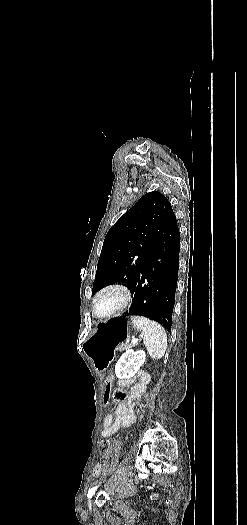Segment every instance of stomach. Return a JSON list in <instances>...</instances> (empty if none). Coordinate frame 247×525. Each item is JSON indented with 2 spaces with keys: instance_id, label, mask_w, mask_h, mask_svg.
Returning <instances> with one entry per match:
<instances>
[{
  "instance_id": "obj_1",
  "label": "stomach",
  "mask_w": 247,
  "mask_h": 525,
  "mask_svg": "<svg viewBox=\"0 0 247 525\" xmlns=\"http://www.w3.org/2000/svg\"><path fill=\"white\" fill-rule=\"evenodd\" d=\"M139 329L128 317H115L99 324L83 348L94 368L105 371L113 359L117 346L138 334Z\"/></svg>"
}]
</instances>
